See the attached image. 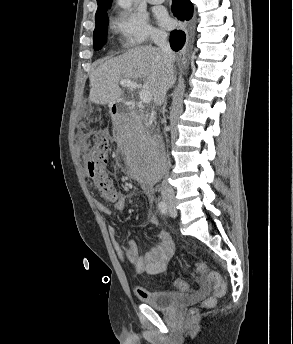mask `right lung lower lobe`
I'll list each match as a JSON object with an SVG mask.
<instances>
[{
	"label": "right lung lower lobe",
	"instance_id": "1",
	"mask_svg": "<svg viewBox=\"0 0 293 344\" xmlns=\"http://www.w3.org/2000/svg\"><path fill=\"white\" fill-rule=\"evenodd\" d=\"M173 14L180 20H190L193 16V5L190 0H173ZM185 32L174 30L170 34V46L174 51L182 49L185 43Z\"/></svg>",
	"mask_w": 293,
	"mask_h": 344
}]
</instances>
